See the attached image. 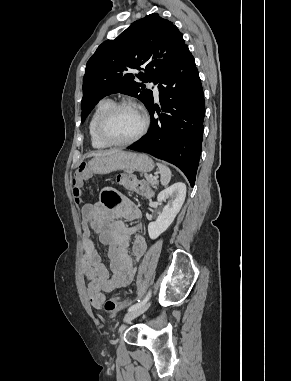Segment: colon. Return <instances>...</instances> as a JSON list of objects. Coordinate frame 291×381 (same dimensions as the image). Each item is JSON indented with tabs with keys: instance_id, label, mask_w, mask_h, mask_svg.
Masks as SVG:
<instances>
[{
	"instance_id": "1",
	"label": "colon",
	"mask_w": 291,
	"mask_h": 381,
	"mask_svg": "<svg viewBox=\"0 0 291 381\" xmlns=\"http://www.w3.org/2000/svg\"><path fill=\"white\" fill-rule=\"evenodd\" d=\"M85 171L84 166H80L78 169H76L73 173L72 183H73V194L75 196L76 201H79V195H80V186L83 181V174ZM121 184L123 187L130 191L135 192L136 194L140 196H149L151 191L149 186L140 180L132 179L124 176L119 177ZM106 202L110 205L116 203V198L114 199H106ZM126 302L121 300L118 297H113L108 299L104 304V309L107 312L113 313L123 310L126 307Z\"/></svg>"
}]
</instances>
